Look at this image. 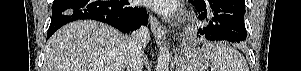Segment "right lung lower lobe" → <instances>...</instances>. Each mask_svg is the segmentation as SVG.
<instances>
[{
    "label": "right lung lower lobe",
    "instance_id": "right-lung-lower-lobe-1",
    "mask_svg": "<svg viewBox=\"0 0 301 71\" xmlns=\"http://www.w3.org/2000/svg\"><path fill=\"white\" fill-rule=\"evenodd\" d=\"M79 19L101 21L123 33L148 23L146 10L130 6L128 0H54L47 39L61 26Z\"/></svg>",
    "mask_w": 301,
    "mask_h": 71
}]
</instances>
